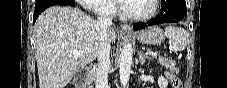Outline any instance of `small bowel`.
Wrapping results in <instances>:
<instances>
[{
    "label": "small bowel",
    "instance_id": "1",
    "mask_svg": "<svg viewBox=\"0 0 227 88\" xmlns=\"http://www.w3.org/2000/svg\"><path fill=\"white\" fill-rule=\"evenodd\" d=\"M164 76L167 78V79H169V80H171V81H176L177 80V78L173 75V74H171L170 72H165L164 73Z\"/></svg>",
    "mask_w": 227,
    "mask_h": 88
}]
</instances>
